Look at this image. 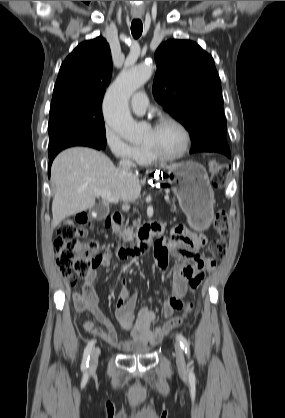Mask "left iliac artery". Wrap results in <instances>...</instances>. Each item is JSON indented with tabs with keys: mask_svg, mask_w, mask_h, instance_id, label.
I'll use <instances>...</instances> for the list:
<instances>
[{
	"mask_svg": "<svg viewBox=\"0 0 285 418\" xmlns=\"http://www.w3.org/2000/svg\"><path fill=\"white\" fill-rule=\"evenodd\" d=\"M177 340L180 342L181 347L185 351L186 355L188 356V359H190V343L187 341V339L182 334H177L176 336ZM192 362L188 361V373L189 378L191 380H195V375L193 372V368L191 366Z\"/></svg>",
	"mask_w": 285,
	"mask_h": 418,
	"instance_id": "1",
	"label": "left iliac artery"
}]
</instances>
